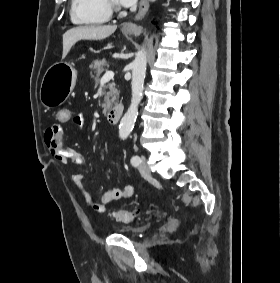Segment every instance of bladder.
<instances>
[{
	"label": "bladder",
	"mask_w": 280,
	"mask_h": 283,
	"mask_svg": "<svg viewBox=\"0 0 280 283\" xmlns=\"http://www.w3.org/2000/svg\"><path fill=\"white\" fill-rule=\"evenodd\" d=\"M151 227V223L138 226H119L115 228V231L117 234L136 238L147 232Z\"/></svg>",
	"instance_id": "1"
}]
</instances>
